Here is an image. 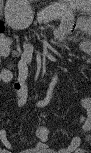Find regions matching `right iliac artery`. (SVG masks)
Here are the masks:
<instances>
[{
  "instance_id": "1",
  "label": "right iliac artery",
  "mask_w": 91,
  "mask_h": 153,
  "mask_svg": "<svg viewBox=\"0 0 91 153\" xmlns=\"http://www.w3.org/2000/svg\"><path fill=\"white\" fill-rule=\"evenodd\" d=\"M51 96H52V87H50L48 89L46 98L44 100H42V101H39L38 104H37V106L38 107H44V106H46L49 103V101L51 99Z\"/></svg>"
}]
</instances>
